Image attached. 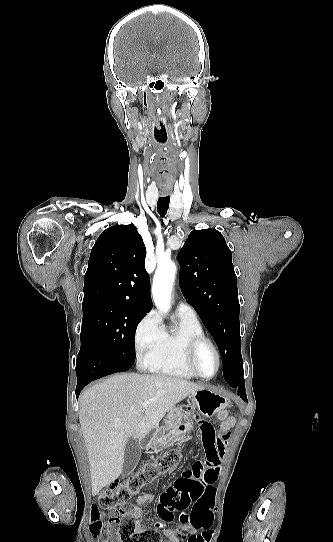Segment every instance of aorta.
I'll return each instance as SVG.
<instances>
[{
    "instance_id": "762f6f07",
    "label": "aorta",
    "mask_w": 333,
    "mask_h": 542,
    "mask_svg": "<svg viewBox=\"0 0 333 542\" xmlns=\"http://www.w3.org/2000/svg\"><path fill=\"white\" fill-rule=\"evenodd\" d=\"M176 274L175 264H167V266H158L152 286L153 300L156 308L161 312L170 310L171 290L173 280Z\"/></svg>"
}]
</instances>
